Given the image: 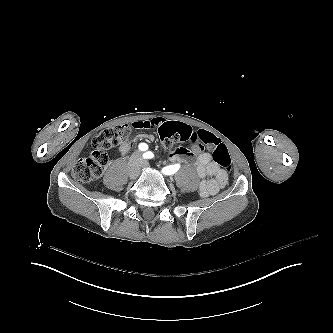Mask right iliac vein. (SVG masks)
<instances>
[{
  "instance_id": "1",
  "label": "right iliac vein",
  "mask_w": 333,
  "mask_h": 333,
  "mask_svg": "<svg viewBox=\"0 0 333 333\" xmlns=\"http://www.w3.org/2000/svg\"><path fill=\"white\" fill-rule=\"evenodd\" d=\"M129 166V165H128ZM140 171V165L139 164H131L129 167V175L132 179H135L138 177Z\"/></svg>"
}]
</instances>
